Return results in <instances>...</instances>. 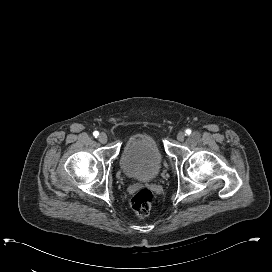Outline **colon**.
<instances>
[{"label": "colon", "instance_id": "colon-1", "mask_svg": "<svg viewBox=\"0 0 272 272\" xmlns=\"http://www.w3.org/2000/svg\"><path fill=\"white\" fill-rule=\"evenodd\" d=\"M154 203V195L148 189L137 191L131 200L132 209L139 218H146Z\"/></svg>", "mask_w": 272, "mask_h": 272}]
</instances>
